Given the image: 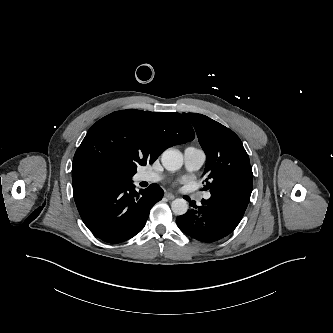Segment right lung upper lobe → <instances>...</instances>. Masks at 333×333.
I'll return each mask as SVG.
<instances>
[{"label":"right lung upper lobe","instance_id":"cb5924a9","mask_svg":"<svg viewBox=\"0 0 333 333\" xmlns=\"http://www.w3.org/2000/svg\"><path fill=\"white\" fill-rule=\"evenodd\" d=\"M193 139L192 126L179 113L113 112L97 121L78 147L72 181L101 177L131 182L137 166L151 164L168 147Z\"/></svg>","mask_w":333,"mask_h":333}]
</instances>
